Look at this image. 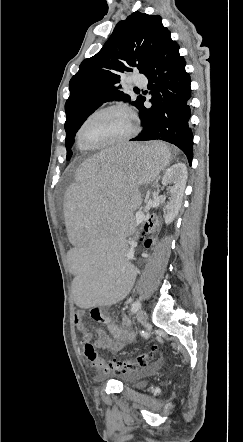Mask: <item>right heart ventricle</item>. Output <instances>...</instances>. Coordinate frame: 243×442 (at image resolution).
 I'll list each match as a JSON object with an SVG mask.
<instances>
[{"mask_svg": "<svg viewBox=\"0 0 243 442\" xmlns=\"http://www.w3.org/2000/svg\"><path fill=\"white\" fill-rule=\"evenodd\" d=\"M78 148H79V150L82 151V152L86 151V149L83 148V147L79 144V142H78Z\"/></svg>", "mask_w": 243, "mask_h": 442, "instance_id": "1", "label": "right heart ventricle"}]
</instances>
